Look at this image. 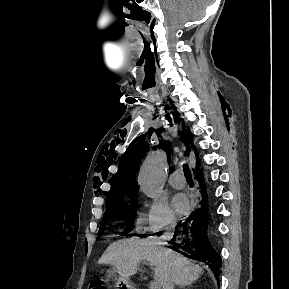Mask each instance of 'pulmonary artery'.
I'll return each mask as SVG.
<instances>
[{"mask_svg":"<svg viewBox=\"0 0 289 289\" xmlns=\"http://www.w3.org/2000/svg\"><path fill=\"white\" fill-rule=\"evenodd\" d=\"M169 184L176 188V189H182L185 187L186 185V181L184 179V177L182 176L180 171H175L173 172L169 179H168Z\"/></svg>","mask_w":289,"mask_h":289,"instance_id":"e3ab8cb5","label":"pulmonary artery"}]
</instances>
